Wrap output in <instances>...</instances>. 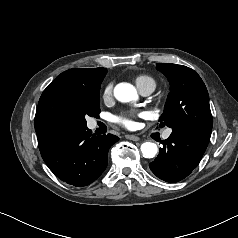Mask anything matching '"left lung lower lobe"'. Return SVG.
<instances>
[{"label":"left lung lower lobe","instance_id":"obj_1","mask_svg":"<svg viewBox=\"0 0 238 238\" xmlns=\"http://www.w3.org/2000/svg\"><path fill=\"white\" fill-rule=\"evenodd\" d=\"M161 143L163 147L149 167L158 178L174 183L187 177L199 164L209 139L173 131Z\"/></svg>","mask_w":238,"mask_h":238}]
</instances>
